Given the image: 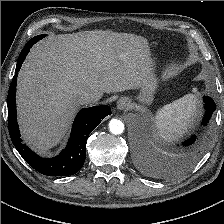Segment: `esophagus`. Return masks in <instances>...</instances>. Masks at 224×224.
I'll return each instance as SVG.
<instances>
[{
    "label": "esophagus",
    "mask_w": 224,
    "mask_h": 224,
    "mask_svg": "<svg viewBox=\"0 0 224 224\" xmlns=\"http://www.w3.org/2000/svg\"><path fill=\"white\" fill-rule=\"evenodd\" d=\"M130 102L127 98H121L117 102V108L119 110H128L130 109Z\"/></svg>",
    "instance_id": "34e87169"
}]
</instances>
